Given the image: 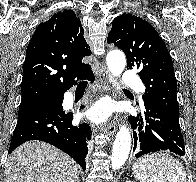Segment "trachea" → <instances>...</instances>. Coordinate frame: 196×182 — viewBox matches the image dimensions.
Masks as SVG:
<instances>
[{"mask_svg":"<svg viewBox=\"0 0 196 182\" xmlns=\"http://www.w3.org/2000/svg\"><path fill=\"white\" fill-rule=\"evenodd\" d=\"M79 85H87V81H81Z\"/></svg>","mask_w":196,"mask_h":182,"instance_id":"trachea-1","label":"trachea"}]
</instances>
